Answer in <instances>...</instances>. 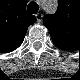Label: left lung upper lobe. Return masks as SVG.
<instances>
[{
    "instance_id": "left-lung-upper-lobe-1",
    "label": "left lung upper lobe",
    "mask_w": 80,
    "mask_h": 80,
    "mask_svg": "<svg viewBox=\"0 0 80 80\" xmlns=\"http://www.w3.org/2000/svg\"><path fill=\"white\" fill-rule=\"evenodd\" d=\"M58 10L53 16H45L43 18L44 25L48 28L52 40L57 46H67L71 44V40L76 36L79 26L78 19L73 17L70 4L66 0H59Z\"/></svg>"
}]
</instances>
